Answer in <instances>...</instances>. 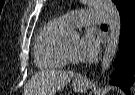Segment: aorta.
<instances>
[{"label": "aorta", "mask_w": 135, "mask_h": 95, "mask_svg": "<svg viewBox=\"0 0 135 95\" xmlns=\"http://www.w3.org/2000/svg\"><path fill=\"white\" fill-rule=\"evenodd\" d=\"M88 3L101 9L105 13L108 20L110 34L103 54L100 69V75L104 77L106 71L114 60V56L118 48L121 31V17L112 0H88ZM71 36L75 38L78 34L76 32H72Z\"/></svg>", "instance_id": "aorta-1"}]
</instances>
